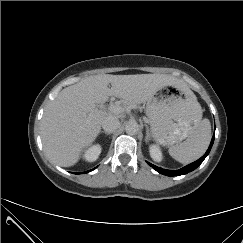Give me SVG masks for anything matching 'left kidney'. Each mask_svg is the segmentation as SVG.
Listing matches in <instances>:
<instances>
[{
	"label": "left kidney",
	"mask_w": 243,
	"mask_h": 243,
	"mask_svg": "<svg viewBox=\"0 0 243 243\" xmlns=\"http://www.w3.org/2000/svg\"><path fill=\"white\" fill-rule=\"evenodd\" d=\"M149 152H150L151 158L155 162H161L162 161L163 155H162V152H161L159 146H157V145H151L149 147Z\"/></svg>",
	"instance_id": "1"
}]
</instances>
